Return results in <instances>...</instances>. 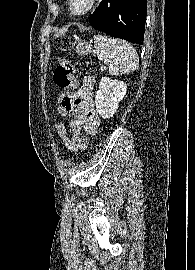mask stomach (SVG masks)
I'll list each match as a JSON object with an SVG mask.
<instances>
[{"instance_id":"stomach-1","label":"stomach","mask_w":195,"mask_h":270,"mask_svg":"<svg viewBox=\"0 0 195 270\" xmlns=\"http://www.w3.org/2000/svg\"><path fill=\"white\" fill-rule=\"evenodd\" d=\"M76 52L80 55H87L92 52L91 43L88 41H78L76 43Z\"/></svg>"}]
</instances>
